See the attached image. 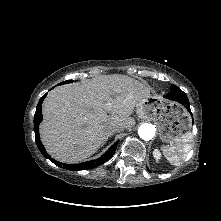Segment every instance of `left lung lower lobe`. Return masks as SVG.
<instances>
[{
	"label": "left lung lower lobe",
	"mask_w": 221,
	"mask_h": 221,
	"mask_svg": "<svg viewBox=\"0 0 221 221\" xmlns=\"http://www.w3.org/2000/svg\"><path fill=\"white\" fill-rule=\"evenodd\" d=\"M165 98L182 104L191 113L189 100L182 90L172 91L169 94L165 95Z\"/></svg>",
	"instance_id": "obj_1"
}]
</instances>
